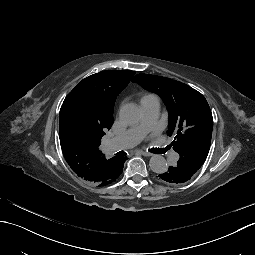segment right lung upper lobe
Wrapping results in <instances>:
<instances>
[{
	"label": "right lung upper lobe",
	"mask_w": 255,
	"mask_h": 255,
	"mask_svg": "<svg viewBox=\"0 0 255 255\" xmlns=\"http://www.w3.org/2000/svg\"><path fill=\"white\" fill-rule=\"evenodd\" d=\"M134 71L107 70L80 81L62 105L70 118L97 125L105 132L113 124V108L117 96L128 85ZM99 143L81 146H61L71 169L82 179L98 186L113 183L122 173L125 157L107 159Z\"/></svg>",
	"instance_id": "1"
}]
</instances>
